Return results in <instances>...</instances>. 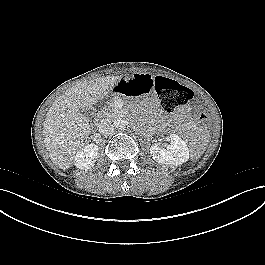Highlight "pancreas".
Segmentation results:
<instances>
[{"instance_id": "1", "label": "pancreas", "mask_w": 265, "mask_h": 265, "mask_svg": "<svg viewBox=\"0 0 265 265\" xmlns=\"http://www.w3.org/2000/svg\"><path fill=\"white\" fill-rule=\"evenodd\" d=\"M120 99L119 97L112 98L108 103V106L104 109L103 114L107 117L118 116L122 113L121 108L115 105V102Z\"/></svg>"}]
</instances>
